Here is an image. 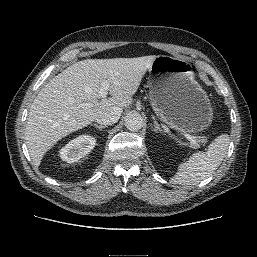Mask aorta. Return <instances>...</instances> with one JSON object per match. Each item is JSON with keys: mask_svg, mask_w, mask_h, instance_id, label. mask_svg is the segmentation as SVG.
Wrapping results in <instances>:
<instances>
[{"mask_svg": "<svg viewBox=\"0 0 257 257\" xmlns=\"http://www.w3.org/2000/svg\"><path fill=\"white\" fill-rule=\"evenodd\" d=\"M125 126L130 131H138L143 126V118L140 113L131 111L125 117Z\"/></svg>", "mask_w": 257, "mask_h": 257, "instance_id": "1", "label": "aorta"}]
</instances>
